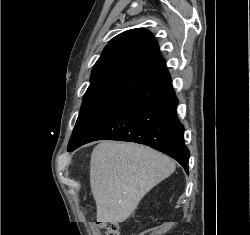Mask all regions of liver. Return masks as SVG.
Here are the masks:
<instances>
[{
    "label": "liver",
    "mask_w": 250,
    "mask_h": 235,
    "mask_svg": "<svg viewBox=\"0 0 250 235\" xmlns=\"http://www.w3.org/2000/svg\"><path fill=\"white\" fill-rule=\"evenodd\" d=\"M175 162L149 147L103 141L92 151L90 185L97 221L123 222L155 185L175 171Z\"/></svg>",
    "instance_id": "liver-1"
}]
</instances>
